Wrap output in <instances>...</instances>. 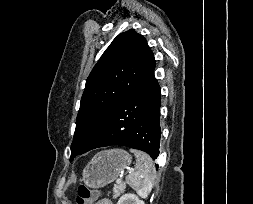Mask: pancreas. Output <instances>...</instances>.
Returning a JSON list of instances; mask_svg holds the SVG:
<instances>
[{
  "label": "pancreas",
  "instance_id": "pancreas-1",
  "mask_svg": "<svg viewBox=\"0 0 253 204\" xmlns=\"http://www.w3.org/2000/svg\"><path fill=\"white\" fill-rule=\"evenodd\" d=\"M125 188V184L115 185L113 188V199H116L121 193H123L125 191Z\"/></svg>",
  "mask_w": 253,
  "mask_h": 204
}]
</instances>
